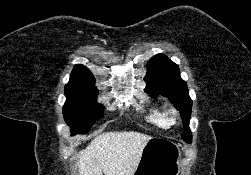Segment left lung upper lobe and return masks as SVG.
I'll use <instances>...</instances> for the list:
<instances>
[{
  "instance_id": "left-lung-upper-lobe-1",
  "label": "left lung upper lobe",
  "mask_w": 251,
  "mask_h": 175,
  "mask_svg": "<svg viewBox=\"0 0 251 175\" xmlns=\"http://www.w3.org/2000/svg\"><path fill=\"white\" fill-rule=\"evenodd\" d=\"M147 75L145 76V91L156 97L164 95L180 111L186 131L182 138L191 143L192 136L188 129L192 100L189 97L186 82L181 79L179 67L168 59L167 56L157 54L147 64Z\"/></svg>"
}]
</instances>
